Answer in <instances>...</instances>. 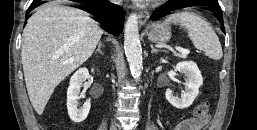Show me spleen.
Masks as SVG:
<instances>
[{
	"instance_id": "obj_1",
	"label": "spleen",
	"mask_w": 257,
	"mask_h": 130,
	"mask_svg": "<svg viewBox=\"0 0 257 130\" xmlns=\"http://www.w3.org/2000/svg\"><path fill=\"white\" fill-rule=\"evenodd\" d=\"M165 23H174L185 27L195 48L203 51L213 60L222 58V47L214 29L195 12L189 10L175 12L165 19Z\"/></svg>"
}]
</instances>
